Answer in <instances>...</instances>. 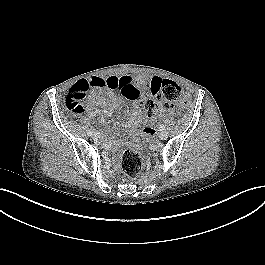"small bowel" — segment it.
Here are the masks:
<instances>
[{"instance_id": "obj_1", "label": "small bowel", "mask_w": 265, "mask_h": 265, "mask_svg": "<svg viewBox=\"0 0 265 265\" xmlns=\"http://www.w3.org/2000/svg\"><path fill=\"white\" fill-rule=\"evenodd\" d=\"M155 79H161L159 76L151 78H132L130 76L110 75L108 77H93L89 82L98 83L95 86L97 90L110 91L108 97L101 93H94L89 102H95L104 109L100 120L104 122L109 113L115 111L122 103L121 98L128 99L133 103V111L127 126L136 128L143 121V112L141 101L144 95H153L151 85ZM114 91L118 92L119 97ZM88 106H83V113ZM79 114V113H78Z\"/></svg>"}]
</instances>
